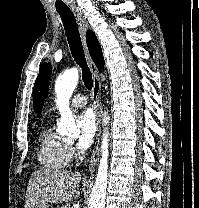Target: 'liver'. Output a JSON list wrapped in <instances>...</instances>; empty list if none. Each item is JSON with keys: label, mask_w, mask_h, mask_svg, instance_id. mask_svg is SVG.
<instances>
[{"label": "liver", "mask_w": 199, "mask_h": 208, "mask_svg": "<svg viewBox=\"0 0 199 208\" xmlns=\"http://www.w3.org/2000/svg\"><path fill=\"white\" fill-rule=\"evenodd\" d=\"M81 175L76 172L51 169L32 173L25 195V208H34L39 203H63L79 196Z\"/></svg>", "instance_id": "6515ba94"}]
</instances>
